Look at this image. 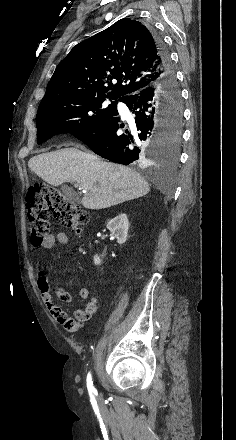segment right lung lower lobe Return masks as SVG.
Returning <instances> with one entry per match:
<instances>
[{
    "label": "right lung lower lobe",
    "mask_w": 236,
    "mask_h": 440,
    "mask_svg": "<svg viewBox=\"0 0 236 440\" xmlns=\"http://www.w3.org/2000/svg\"><path fill=\"white\" fill-rule=\"evenodd\" d=\"M152 35L162 75L157 82L120 100L134 115L133 121L122 123L116 110L106 121L74 135L96 154L124 165L149 164L155 153L145 154L146 144L151 150L160 147L164 130L182 123L181 97L169 54L163 40L154 32Z\"/></svg>",
    "instance_id": "right-lung-lower-lobe-1"
}]
</instances>
